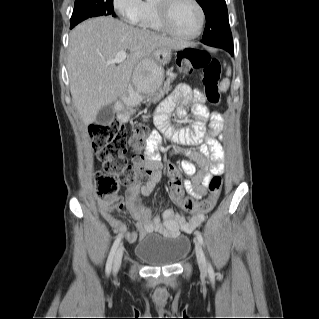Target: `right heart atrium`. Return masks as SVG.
I'll list each match as a JSON object with an SVG mask.
<instances>
[{
    "instance_id": "1",
    "label": "right heart atrium",
    "mask_w": 319,
    "mask_h": 319,
    "mask_svg": "<svg viewBox=\"0 0 319 319\" xmlns=\"http://www.w3.org/2000/svg\"><path fill=\"white\" fill-rule=\"evenodd\" d=\"M144 2L142 0H113L117 14L129 24H138Z\"/></svg>"
}]
</instances>
